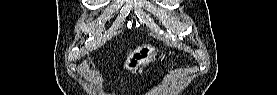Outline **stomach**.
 Masks as SVG:
<instances>
[{
    "instance_id": "stomach-1",
    "label": "stomach",
    "mask_w": 277,
    "mask_h": 95,
    "mask_svg": "<svg viewBox=\"0 0 277 95\" xmlns=\"http://www.w3.org/2000/svg\"><path fill=\"white\" fill-rule=\"evenodd\" d=\"M159 52L160 50L155 46L144 44L127 56L124 68L131 73L141 71L156 60Z\"/></svg>"
}]
</instances>
